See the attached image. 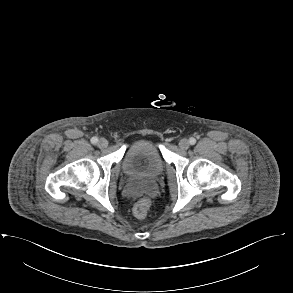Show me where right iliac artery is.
Returning <instances> with one entry per match:
<instances>
[{"label":"right iliac artery","instance_id":"1","mask_svg":"<svg viewBox=\"0 0 293 293\" xmlns=\"http://www.w3.org/2000/svg\"><path fill=\"white\" fill-rule=\"evenodd\" d=\"M98 142V138L97 137H92L91 138V143L92 144H96Z\"/></svg>","mask_w":293,"mask_h":293}]
</instances>
